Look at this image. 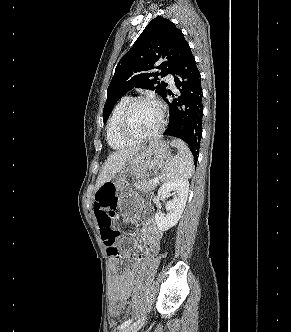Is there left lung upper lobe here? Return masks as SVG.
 <instances>
[{"instance_id":"left-lung-upper-lobe-1","label":"left lung upper lobe","mask_w":291,"mask_h":332,"mask_svg":"<svg viewBox=\"0 0 291 332\" xmlns=\"http://www.w3.org/2000/svg\"><path fill=\"white\" fill-rule=\"evenodd\" d=\"M187 45L183 33L174 23L161 16L154 18L115 69L107 90L103 121L109 118L116 102L134 87L155 90L162 97L167 84L158 77L174 73ZM155 68L160 71H154ZM199 147L196 143L191 150L194 153Z\"/></svg>"}]
</instances>
